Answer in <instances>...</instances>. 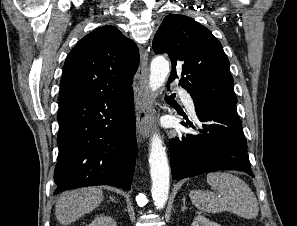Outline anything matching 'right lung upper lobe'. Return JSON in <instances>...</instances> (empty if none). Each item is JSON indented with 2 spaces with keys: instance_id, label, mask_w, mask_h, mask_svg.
Here are the masks:
<instances>
[{
  "instance_id": "obj_1",
  "label": "right lung upper lobe",
  "mask_w": 297,
  "mask_h": 226,
  "mask_svg": "<svg viewBox=\"0 0 297 226\" xmlns=\"http://www.w3.org/2000/svg\"><path fill=\"white\" fill-rule=\"evenodd\" d=\"M139 65L135 43L114 26H103L83 37L67 56L59 102L99 93L131 89Z\"/></svg>"
}]
</instances>
